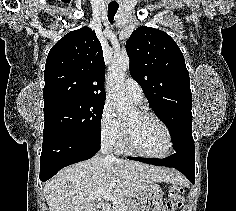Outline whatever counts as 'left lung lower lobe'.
I'll return each instance as SVG.
<instances>
[{"instance_id":"obj_1","label":"left lung lower lobe","mask_w":236,"mask_h":211,"mask_svg":"<svg viewBox=\"0 0 236 211\" xmlns=\"http://www.w3.org/2000/svg\"><path fill=\"white\" fill-rule=\"evenodd\" d=\"M128 159L157 166L173 167L183 173L192 184L195 182V154L174 153L165 159L129 157Z\"/></svg>"}]
</instances>
